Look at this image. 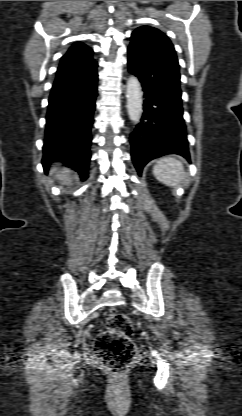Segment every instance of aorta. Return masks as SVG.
<instances>
[{"instance_id": "obj_1", "label": "aorta", "mask_w": 242, "mask_h": 416, "mask_svg": "<svg viewBox=\"0 0 242 416\" xmlns=\"http://www.w3.org/2000/svg\"><path fill=\"white\" fill-rule=\"evenodd\" d=\"M127 111L130 120L137 124L142 114V89L137 77L131 76L126 85Z\"/></svg>"}]
</instances>
